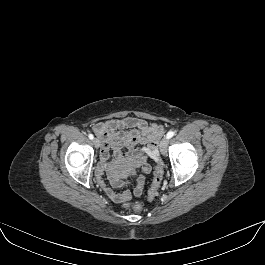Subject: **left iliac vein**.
I'll return each mask as SVG.
<instances>
[{
  "label": "left iliac vein",
  "mask_w": 265,
  "mask_h": 265,
  "mask_svg": "<svg viewBox=\"0 0 265 265\" xmlns=\"http://www.w3.org/2000/svg\"><path fill=\"white\" fill-rule=\"evenodd\" d=\"M169 140L167 137L163 138L159 144L160 152L165 155L167 153Z\"/></svg>",
  "instance_id": "left-iliac-vein-1"
}]
</instances>
